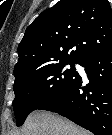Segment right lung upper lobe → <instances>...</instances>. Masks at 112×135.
Masks as SVG:
<instances>
[{
	"label": "right lung upper lobe",
	"instance_id": "cb5924a9",
	"mask_svg": "<svg viewBox=\"0 0 112 135\" xmlns=\"http://www.w3.org/2000/svg\"><path fill=\"white\" fill-rule=\"evenodd\" d=\"M112 48V8L108 0H60L42 12L18 46L15 78L52 62L75 61Z\"/></svg>",
	"mask_w": 112,
	"mask_h": 135
}]
</instances>
